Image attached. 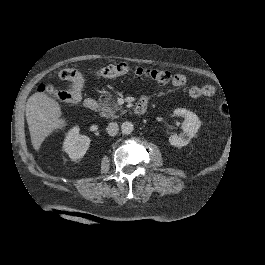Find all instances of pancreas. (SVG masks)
Masks as SVG:
<instances>
[{
    "mask_svg": "<svg viewBox=\"0 0 265 265\" xmlns=\"http://www.w3.org/2000/svg\"><path fill=\"white\" fill-rule=\"evenodd\" d=\"M99 105L101 107V113L100 115L102 117L115 119L118 118V115L116 113L118 111L121 112V114H124V111L113 99L112 95H108L104 100L99 99Z\"/></svg>",
    "mask_w": 265,
    "mask_h": 265,
    "instance_id": "1",
    "label": "pancreas"
}]
</instances>
